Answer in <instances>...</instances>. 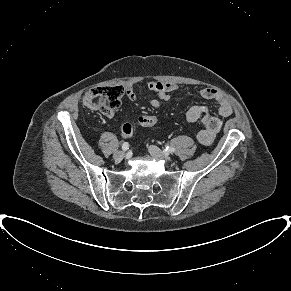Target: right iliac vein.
<instances>
[{
  "mask_svg": "<svg viewBox=\"0 0 291 291\" xmlns=\"http://www.w3.org/2000/svg\"><path fill=\"white\" fill-rule=\"evenodd\" d=\"M125 157V152L124 151H116L113 155V158L116 161H121Z\"/></svg>",
  "mask_w": 291,
  "mask_h": 291,
  "instance_id": "right-iliac-vein-1",
  "label": "right iliac vein"
}]
</instances>
